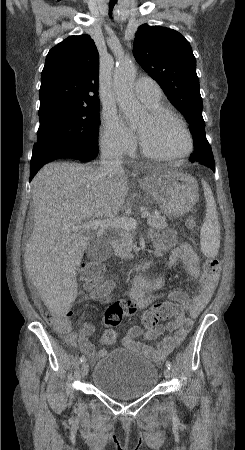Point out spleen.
I'll return each mask as SVG.
<instances>
[{
  "instance_id": "spleen-1",
  "label": "spleen",
  "mask_w": 245,
  "mask_h": 450,
  "mask_svg": "<svg viewBox=\"0 0 245 450\" xmlns=\"http://www.w3.org/2000/svg\"><path fill=\"white\" fill-rule=\"evenodd\" d=\"M204 197L206 201V216L201 228V251L209 258H213L218 254L220 247V225L216 202L210 186L202 180Z\"/></svg>"
}]
</instances>
